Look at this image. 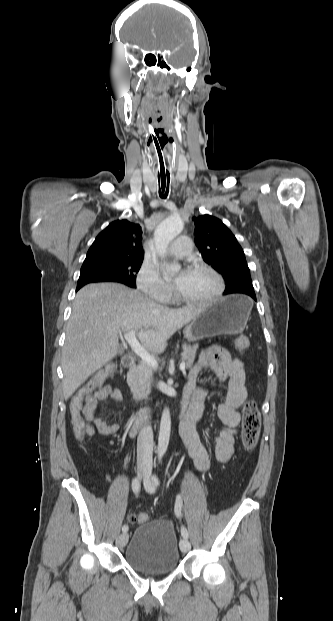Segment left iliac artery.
<instances>
[{"instance_id": "obj_1", "label": "left iliac artery", "mask_w": 333, "mask_h": 621, "mask_svg": "<svg viewBox=\"0 0 333 621\" xmlns=\"http://www.w3.org/2000/svg\"><path fill=\"white\" fill-rule=\"evenodd\" d=\"M161 456L159 457V463H161ZM160 484V480L159 478L156 476V474H154L151 478V482L145 481L144 480V486L146 488V490L150 491L151 489H154L156 486H158ZM182 505H183V501H182V497L181 495H177L176 497V502H175V514L178 518H180L181 516V509H182ZM181 535L183 538L188 539L189 537V533L188 530L186 529L185 526H181Z\"/></svg>"}]
</instances>
